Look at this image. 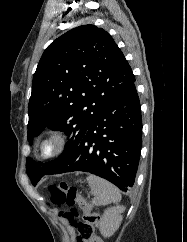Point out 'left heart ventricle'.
Segmentation results:
<instances>
[{"instance_id": "b2bd125f", "label": "left heart ventricle", "mask_w": 187, "mask_h": 242, "mask_svg": "<svg viewBox=\"0 0 187 242\" xmlns=\"http://www.w3.org/2000/svg\"><path fill=\"white\" fill-rule=\"evenodd\" d=\"M54 150V144L53 143H47V144H45V146H44V151L46 152V153H50V152H52Z\"/></svg>"}]
</instances>
